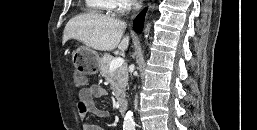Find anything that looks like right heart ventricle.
<instances>
[{
    "mask_svg": "<svg viewBox=\"0 0 257 130\" xmlns=\"http://www.w3.org/2000/svg\"><path fill=\"white\" fill-rule=\"evenodd\" d=\"M89 10L97 13L111 12L116 8L115 0H85Z\"/></svg>",
    "mask_w": 257,
    "mask_h": 130,
    "instance_id": "obj_1",
    "label": "right heart ventricle"
}]
</instances>
